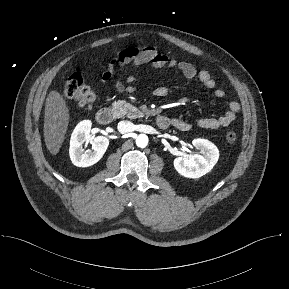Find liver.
I'll return each mask as SVG.
<instances>
[{
	"label": "liver",
	"instance_id": "obj_1",
	"mask_svg": "<svg viewBox=\"0 0 289 289\" xmlns=\"http://www.w3.org/2000/svg\"><path fill=\"white\" fill-rule=\"evenodd\" d=\"M69 118V108L63 96L58 91H50L45 103L43 132L45 145L53 156L59 153L63 144Z\"/></svg>",
	"mask_w": 289,
	"mask_h": 289
}]
</instances>
